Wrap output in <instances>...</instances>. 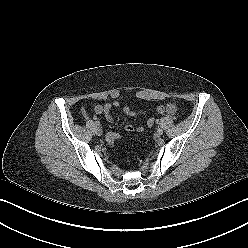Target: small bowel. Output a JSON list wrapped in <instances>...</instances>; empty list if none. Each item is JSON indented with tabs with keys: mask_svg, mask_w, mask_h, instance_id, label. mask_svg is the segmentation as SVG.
Instances as JSON below:
<instances>
[{
	"mask_svg": "<svg viewBox=\"0 0 248 248\" xmlns=\"http://www.w3.org/2000/svg\"><path fill=\"white\" fill-rule=\"evenodd\" d=\"M117 106H118L117 102H114L113 104L111 103H107L104 105L99 104L94 107V112L97 115L104 114L105 118L108 121H112V109L113 107H117ZM175 110H176V107L173 104L158 105L154 109L155 113L159 115H163L165 113L172 114L175 112ZM123 112L128 116H137L139 114L144 113V111H136V110L131 109L130 107H124ZM125 130L129 132H132V131L142 132L144 128L141 126L135 127L131 124H127L125 125Z\"/></svg>",
	"mask_w": 248,
	"mask_h": 248,
	"instance_id": "obj_1",
	"label": "small bowel"
}]
</instances>
